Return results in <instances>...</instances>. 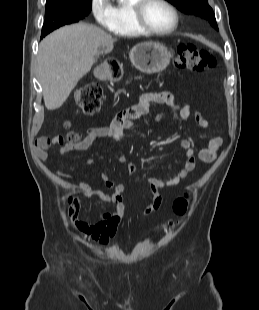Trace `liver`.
Instances as JSON below:
<instances>
[{"label":"liver","instance_id":"6515ba94","mask_svg":"<svg viewBox=\"0 0 259 310\" xmlns=\"http://www.w3.org/2000/svg\"><path fill=\"white\" fill-rule=\"evenodd\" d=\"M115 41L102 29L85 23L62 27L45 37L39 45L37 67L46 108L61 107L90 71L98 49L108 53Z\"/></svg>","mask_w":259,"mask_h":310}]
</instances>
